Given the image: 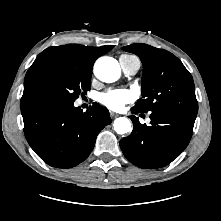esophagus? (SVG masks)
Returning <instances> with one entry per match:
<instances>
[{"mask_svg": "<svg viewBox=\"0 0 221 221\" xmlns=\"http://www.w3.org/2000/svg\"><path fill=\"white\" fill-rule=\"evenodd\" d=\"M110 115H111L112 118H116V117L119 116V114H117L115 112H112V111L110 112Z\"/></svg>", "mask_w": 221, "mask_h": 221, "instance_id": "obj_1", "label": "esophagus"}]
</instances>
